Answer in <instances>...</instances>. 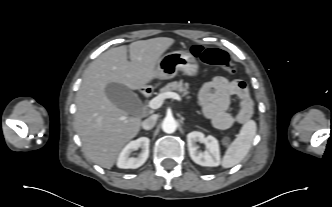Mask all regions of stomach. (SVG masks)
<instances>
[{
    "mask_svg": "<svg viewBox=\"0 0 332 207\" xmlns=\"http://www.w3.org/2000/svg\"><path fill=\"white\" fill-rule=\"evenodd\" d=\"M158 79H171L178 71L185 75L196 77L199 72V65L195 57L188 51H174L163 55L157 63Z\"/></svg>",
    "mask_w": 332,
    "mask_h": 207,
    "instance_id": "1",
    "label": "stomach"
}]
</instances>
